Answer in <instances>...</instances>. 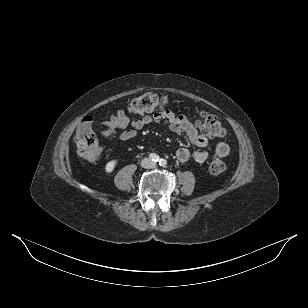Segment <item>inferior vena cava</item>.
Wrapping results in <instances>:
<instances>
[{
    "label": "inferior vena cava",
    "instance_id": "602c4592",
    "mask_svg": "<svg viewBox=\"0 0 308 308\" xmlns=\"http://www.w3.org/2000/svg\"><path fill=\"white\" fill-rule=\"evenodd\" d=\"M142 166L144 168H155L156 167V163L153 162L152 160L145 158L142 160Z\"/></svg>",
    "mask_w": 308,
    "mask_h": 308
}]
</instances>
